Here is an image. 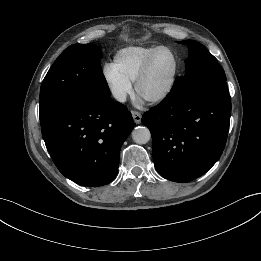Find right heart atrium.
Returning <instances> with one entry per match:
<instances>
[{"instance_id":"1","label":"right heart atrium","mask_w":261,"mask_h":261,"mask_svg":"<svg viewBox=\"0 0 261 261\" xmlns=\"http://www.w3.org/2000/svg\"><path fill=\"white\" fill-rule=\"evenodd\" d=\"M102 76L111 96L119 103L125 102L133 91L132 82L120 74L113 63L103 66Z\"/></svg>"}]
</instances>
